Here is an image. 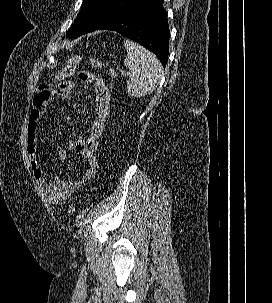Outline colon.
I'll return each mask as SVG.
<instances>
[{
  "instance_id": "colon-1",
  "label": "colon",
  "mask_w": 272,
  "mask_h": 303,
  "mask_svg": "<svg viewBox=\"0 0 272 303\" xmlns=\"http://www.w3.org/2000/svg\"><path fill=\"white\" fill-rule=\"evenodd\" d=\"M83 60L82 57H73L69 59L60 71L56 72L52 79L53 84H50L51 88L56 87L59 83L63 82V80L69 78L75 71L76 66ZM87 63L91 65L92 67L99 68L102 66V61L98 57H89L86 59ZM108 74L110 77H117V71L113 68H110L108 70ZM75 212V208L73 205H70L68 207L67 213L69 216H72Z\"/></svg>"
}]
</instances>
